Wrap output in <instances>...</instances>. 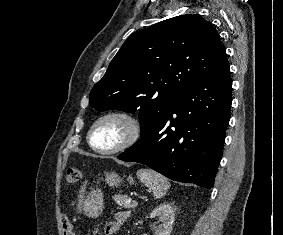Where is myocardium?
Here are the masks:
<instances>
[{
	"label": "myocardium",
	"mask_w": 283,
	"mask_h": 235,
	"mask_svg": "<svg viewBox=\"0 0 283 235\" xmlns=\"http://www.w3.org/2000/svg\"><path fill=\"white\" fill-rule=\"evenodd\" d=\"M108 119L122 120L123 122L126 123L128 131H127V135L125 139L121 143H119L113 148L102 149L93 144L92 137L97 127L102 122ZM142 131H143L142 124L135 115L125 110H112V111L103 113L93 122L87 134V141L94 151L100 154H103V155H113V154L123 152L131 148L134 144H136L138 140L141 138Z\"/></svg>",
	"instance_id": "obj_1"
}]
</instances>
